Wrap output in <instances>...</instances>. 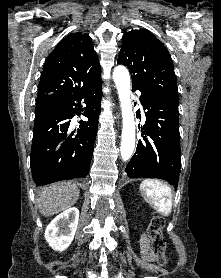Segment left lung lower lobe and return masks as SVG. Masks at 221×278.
<instances>
[{"label":"left lung lower lobe","mask_w":221,"mask_h":278,"mask_svg":"<svg viewBox=\"0 0 221 278\" xmlns=\"http://www.w3.org/2000/svg\"><path fill=\"white\" fill-rule=\"evenodd\" d=\"M139 90L146 115L143 139L126 167L130 178H160L178 186L181 166L178 103L132 85ZM138 117L140 111L136 112Z\"/></svg>","instance_id":"obj_1"}]
</instances>
